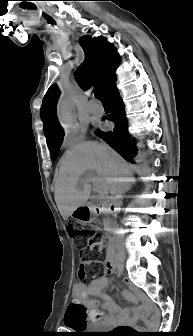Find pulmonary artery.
<instances>
[{
  "instance_id": "1",
  "label": "pulmonary artery",
  "mask_w": 193,
  "mask_h": 336,
  "mask_svg": "<svg viewBox=\"0 0 193 336\" xmlns=\"http://www.w3.org/2000/svg\"><path fill=\"white\" fill-rule=\"evenodd\" d=\"M88 109L91 114L101 115L104 112L102 105L98 104V102L94 99H91L88 103Z\"/></svg>"
}]
</instances>
